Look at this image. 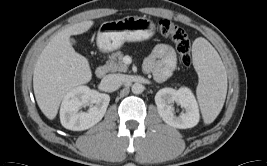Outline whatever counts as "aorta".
<instances>
[{"mask_svg":"<svg viewBox=\"0 0 267 166\" xmlns=\"http://www.w3.org/2000/svg\"><path fill=\"white\" fill-rule=\"evenodd\" d=\"M131 90L134 94H141L144 90V87L140 83H134L131 87Z\"/></svg>","mask_w":267,"mask_h":166,"instance_id":"1","label":"aorta"}]
</instances>
